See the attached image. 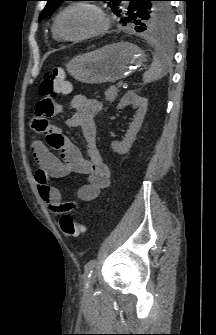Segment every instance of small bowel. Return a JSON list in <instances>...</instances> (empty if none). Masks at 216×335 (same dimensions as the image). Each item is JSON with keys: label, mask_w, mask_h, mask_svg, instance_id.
<instances>
[{"label": "small bowel", "mask_w": 216, "mask_h": 335, "mask_svg": "<svg viewBox=\"0 0 216 335\" xmlns=\"http://www.w3.org/2000/svg\"><path fill=\"white\" fill-rule=\"evenodd\" d=\"M74 113L67 119V126L80 128L86 141L87 156L62 134L60 128L53 126L51 115H66L68 106L48 94L36 106V116L32 120V129L36 135H46L48 145L33 140L31 151L36 162V185L42 200L53 213L73 210L78 202L95 200L100 192L110 186V170L103 161L97 146V132L94 117L102 110L97 99L84 95H75L71 100ZM51 138H55L53 143ZM58 151L56 156L50 148ZM75 172L84 175L86 182L77 190L76 201L63 202L58 188L50 184L51 179L62 178Z\"/></svg>", "instance_id": "obj_1"}]
</instances>
